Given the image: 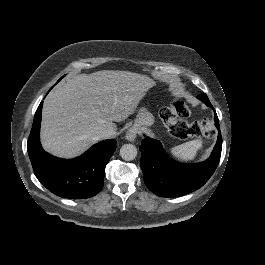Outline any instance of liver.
I'll list each match as a JSON object with an SVG mask.
<instances>
[{
    "label": "liver",
    "instance_id": "1",
    "mask_svg": "<svg viewBox=\"0 0 265 265\" xmlns=\"http://www.w3.org/2000/svg\"><path fill=\"white\" fill-rule=\"evenodd\" d=\"M153 79L129 71L77 74L57 85L42 110L41 142L53 155L75 157L104 139L107 127L133 114Z\"/></svg>",
    "mask_w": 265,
    "mask_h": 265
}]
</instances>
